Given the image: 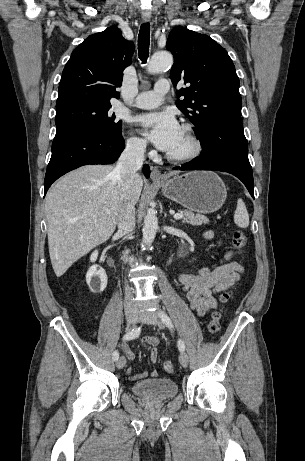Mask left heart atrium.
<instances>
[{
  "label": "left heart atrium",
  "mask_w": 305,
  "mask_h": 461,
  "mask_svg": "<svg viewBox=\"0 0 305 461\" xmlns=\"http://www.w3.org/2000/svg\"><path fill=\"white\" fill-rule=\"evenodd\" d=\"M137 122L144 135L162 151H170L179 139L181 127L170 112L145 114Z\"/></svg>",
  "instance_id": "left-heart-atrium-1"
}]
</instances>
